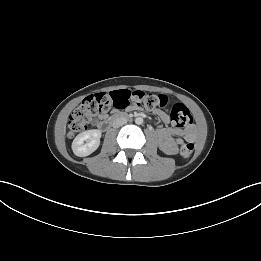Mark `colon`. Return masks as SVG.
<instances>
[{"mask_svg":"<svg viewBox=\"0 0 261 261\" xmlns=\"http://www.w3.org/2000/svg\"><path fill=\"white\" fill-rule=\"evenodd\" d=\"M168 99L165 95L144 93L142 91L116 90L109 93H98L86 97L73 111L68 122V136L87 129L92 117L107 112L111 107L125 109L129 106L136 108L155 109L164 108ZM172 122L180 127L189 126L192 123V115L189 109L182 103H176L171 109ZM194 144L187 142L181 145L180 154L184 158L192 155Z\"/></svg>","mask_w":261,"mask_h":261,"instance_id":"colon-1","label":"colon"}]
</instances>
